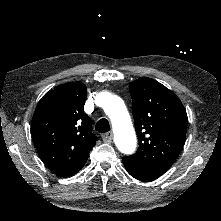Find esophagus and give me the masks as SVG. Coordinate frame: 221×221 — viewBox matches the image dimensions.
I'll use <instances>...</instances> for the list:
<instances>
[{"instance_id": "obj_1", "label": "esophagus", "mask_w": 221, "mask_h": 221, "mask_svg": "<svg viewBox=\"0 0 221 221\" xmlns=\"http://www.w3.org/2000/svg\"><path fill=\"white\" fill-rule=\"evenodd\" d=\"M102 140L105 143H110L112 141V134H111V132L102 134Z\"/></svg>"}]
</instances>
